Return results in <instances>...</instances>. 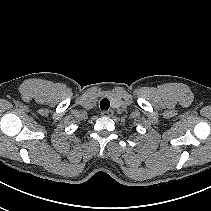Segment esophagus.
Returning a JSON list of instances; mask_svg holds the SVG:
<instances>
[{
  "label": "esophagus",
  "mask_w": 211,
  "mask_h": 211,
  "mask_svg": "<svg viewBox=\"0 0 211 211\" xmlns=\"http://www.w3.org/2000/svg\"><path fill=\"white\" fill-rule=\"evenodd\" d=\"M113 114H114L113 110H108V111H102L101 112L102 116H107V117H111V116H113Z\"/></svg>",
  "instance_id": "34e87169"
}]
</instances>
